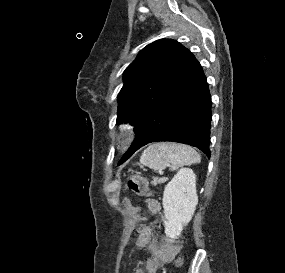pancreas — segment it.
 <instances>
[{
	"instance_id": "obj_1",
	"label": "pancreas",
	"mask_w": 285,
	"mask_h": 273,
	"mask_svg": "<svg viewBox=\"0 0 285 273\" xmlns=\"http://www.w3.org/2000/svg\"><path fill=\"white\" fill-rule=\"evenodd\" d=\"M165 181H166V180L163 179V178H160V179L154 178V179L152 180L151 184L155 186V185H157V184H162V183H164Z\"/></svg>"
}]
</instances>
